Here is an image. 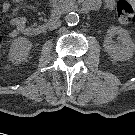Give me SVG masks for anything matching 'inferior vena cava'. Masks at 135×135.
Masks as SVG:
<instances>
[{
	"label": "inferior vena cava",
	"mask_w": 135,
	"mask_h": 135,
	"mask_svg": "<svg viewBox=\"0 0 135 135\" xmlns=\"http://www.w3.org/2000/svg\"><path fill=\"white\" fill-rule=\"evenodd\" d=\"M61 25V21L59 19H55L52 22L47 24L49 30H53L58 28Z\"/></svg>",
	"instance_id": "602c4592"
}]
</instances>
